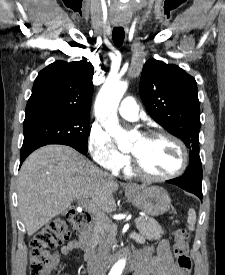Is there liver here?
<instances>
[{
  "label": "liver",
  "instance_id": "1",
  "mask_svg": "<svg viewBox=\"0 0 225 275\" xmlns=\"http://www.w3.org/2000/svg\"><path fill=\"white\" fill-rule=\"evenodd\" d=\"M119 185L75 149L50 144L34 151L18 176V207L28 236H32L73 200H90L96 209H116Z\"/></svg>",
  "mask_w": 225,
  "mask_h": 275
}]
</instances>
